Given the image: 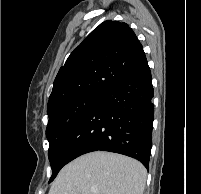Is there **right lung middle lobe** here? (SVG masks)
I'll return each mask as SVG.
<instances>
[{
    "mask_svg": "<svg viewBox=\"0 0 201 194\" xmlns=\"http://www.w3.org/2000/svg\"><path fill=\"white\" fill-rule=\"evenodd\" d=\"M102 95L79 97L52 108L48 113L49 122L46 128V137L49 142L48 157L52 167L53 181L59 172L53 158V153L60 145L67 131L101 98Z\"/></svg>",
    "mask_w": 201,
    "mask_h": 194,
    "instance_id": "right-lung-middle-lobe-1",
    "label": "right lung middle lobe"
}]
</instances>
